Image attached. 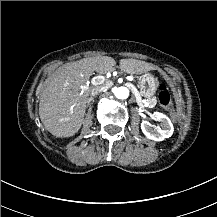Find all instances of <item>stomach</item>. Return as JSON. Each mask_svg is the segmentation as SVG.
Instances as JSON below:
<instances>
[{
	"label": "stomach",
	"instance_id": "1",
	"mask_svg": "<svg viewBox=\"0 0 217 217\" xmlns=\"http://www.w3.org/2000/svg\"><path fill=\"white\" fill-rule=\"evenodd\" d=\"M159 87L157 78L150 74L145 73L138 81V88L143 97L151 98Z\"/></svg>",
	"mask_w": 217,
	"mask_h": 217
}]
</instances>
